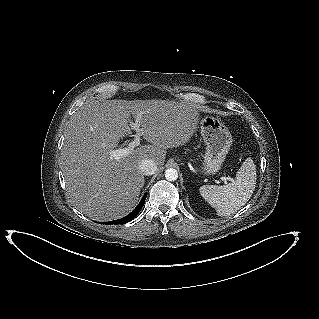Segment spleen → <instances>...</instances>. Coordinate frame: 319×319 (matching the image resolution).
Masks as SVG:
<instances>
[{"mask_svg": "<svg viewBox=\"0 0 319 319\" xmlns=\"http://www.w3.org/2000/svg\"><path fill=\"white\" fill-rule=\"evenodd\" d=\"M256 176L255 164L251 158H247L232 183L224 186L204 185L200 187V194L219 216H228L249 201L256 186Z\"/></svg>", "mask_w": 319, "mask_h": 319, "instance_id": "spleen-1", "label": "spleen"}]
</instances>
